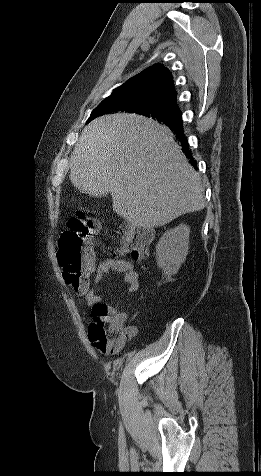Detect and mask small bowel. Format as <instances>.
<instances>
[{"label": "small bowel", "mask_w": 261, "mask_h": 476, "mask_svg": "<svg viewBox=\"0 0 261 476\" xmlns=\"http://www.w3.org/2000/svg\"><path fill=\"white\" fill-rule=\"evenodd\" d=\"M94 280L90 285L83 290H78L84 296L86 304L94 309L97 305L102 303V297L99 294L101 284L104 277L109 272H117L122 275L123 281L126 284V291L129 293L135 292L139 287L138 274L134 269L133 264L120 257H109L100 261L95 267ZM127 321V314L125 312H116L109 320L110 327L125 334V341L135 333L134 327L125 328Z\"/></svg>", "instance_id": "obj_1"}]
</instances>
